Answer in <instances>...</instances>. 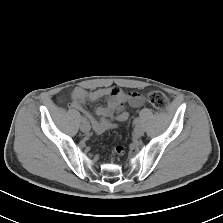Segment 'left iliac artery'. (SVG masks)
Returning <instances> with one entry per match:
<instances>
[{"instance_id":"1","label":"left iliac artery","mask_w":223,"mask_h":223,"mask_svg":"<svg viewBox=\"0 0 223 223\" xmlns=\"http://www.w3.org/2000/svg\"><path fill=\"white\" fill-rule=\"evenodd\" d=\"M133 123L135 125H139L140 124V119L139 118H135L134 121H133Z\"/></svg>"}]
</instances>
